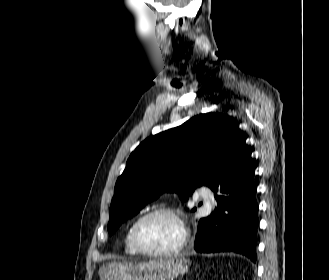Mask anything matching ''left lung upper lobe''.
Here are the masks:
<instances>
[{
  "label": "left lung upper lobe",
  "instance_id": "left-lung-upper-lobe-1",
  "mask_svg": "<svg viewBox=\"0 0 329 280\" xmlns=\"http://www.w3.org/2000/svg\"><path fill=\"white\" fill-rule=\"evenodd\" d=\"M244 145L238 125L212 112L147 138L132 152L116 182L109 234L162 192H180L186 200L201 185L214 192L224 188L241 168Z\"/></svg>",
  "mask_w": 329,
  "mask_h": 280
}]
</instances>
